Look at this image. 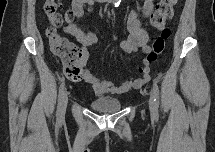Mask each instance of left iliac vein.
I'll return each mask as SVG.
<instances>
[{
    "label": "left iliac vein",
    "mask_w": 215,
    "mask_h": 152,
    "mask_svg": "<svg viewBox=\"0 0 215 152\" xmlns=\"http://www.w3.org/2000/svg\"><path fill=\"white\" fill-rule=\"evenodd\" d=\"M149 110H150L151 116L154 117L156 112H155V101H154L153 94H151L149 98Z\"/></svg>",
    "instance_id": "1"
}]
</instances>
